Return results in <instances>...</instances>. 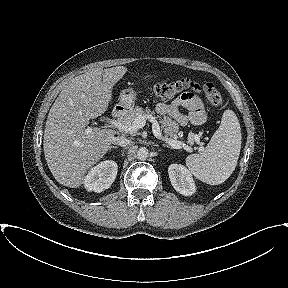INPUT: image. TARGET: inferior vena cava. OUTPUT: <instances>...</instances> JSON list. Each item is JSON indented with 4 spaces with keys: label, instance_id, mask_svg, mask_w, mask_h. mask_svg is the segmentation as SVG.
Listing matches in <instances>:
<instances>
[{
    "label": "inferior vena cava",
    "instance_id": "1",
    "mask_svg": "<svg viewBox=\"0 0 288 288\" xmlns=\"http://www.w3.org/2000/svg\"><path fill=\"white\" fill-rule=\"evenodd\" d=\"M114 145L127 146L130 143V140L123 136H117L112 139Z\"/></svg>",
    "mask_w": 288,
    "mask_h": 288
}]
</instances>
